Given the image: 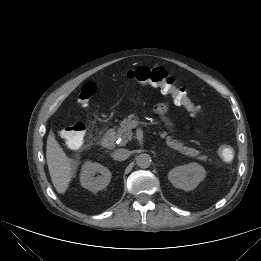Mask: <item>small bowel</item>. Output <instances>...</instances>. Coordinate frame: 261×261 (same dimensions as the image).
<instances>
[{
  "mask_svg": "<svg viewBox=\"0 0 261 261\" xmlns=\"http://www.w3.org/2000/svg\"><path fill=\"white\" fill-rule=\"evenodd\" d=\"M168 107H169L168 103H162V104L158 105V106L156 107V109H157V111H158L160 114L163 115V114H165V113L167 112Z\"/></svg>",
  "mask_w": 261,
  "mask_h": 261,
  "instance_id": "1",
  "label": "small bowel"
}]
</instances>
